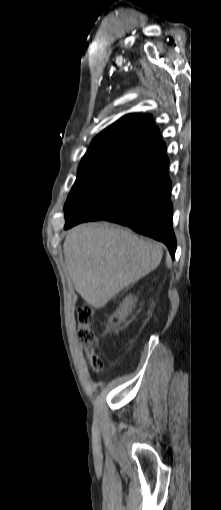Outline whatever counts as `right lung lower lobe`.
I'll use <instances>...</instances> for the list:
<instances>
[{"label": "right lung lower lobe", "mask_w": 221, "mask_h": 510, "mask_svg": "<svg viewBox=\"0 0 221 510\" xmlns=\"http://www.w3.org/2000/svg\"><path fill=\"white\" fill-rule=\"evenodd\" d=\"M165 147L154 153L133 180L122 202L106 214H90L86 203L66 216L65 229L85 221L106 220L163 242L175 258L176 238L172 228L171 180Z\"/></svg>", "instance_id": "1"}]
</instances>
